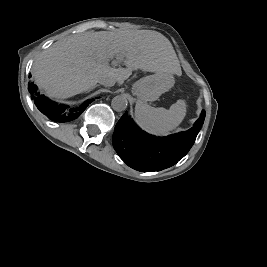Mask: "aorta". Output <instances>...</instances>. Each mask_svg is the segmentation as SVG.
<instances>
[{"label":"aorta","mask_w":267,"mask_h":267,"mask_svg":"<svg viewBox=\"0 0 267 267\" xmlns=\"http://www.w3.org/2000/svg\"><path fill=\"white\" fill-rule=\"evenodd\" d=\"M128 101L127 98L123 95L115 96L111 101V106L115 111H123L127 108Z\"/></svg>","instance_id":"762f6f07"}]
</instances>
